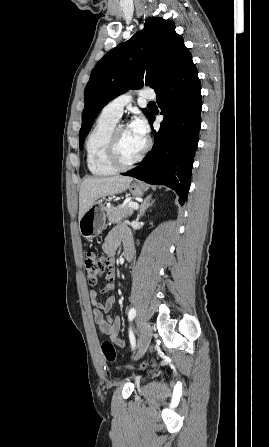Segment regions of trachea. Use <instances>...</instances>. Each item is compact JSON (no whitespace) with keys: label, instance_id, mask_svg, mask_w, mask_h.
I'll return each instance as SVG.
<instances>
[{"label":"trachea","instance_id":"obj_1","mask_svg":"<svg viewBox=\"0 0 269 447\" xmlns=\"http://www.w3.org/2000/svg\"><path fill=\"white\" fill-rule=\"evenodd\" d=\"M148 105H155V102H149Z\"/></svg>","mask_w":269,"mask_h":447}]
</instances>
